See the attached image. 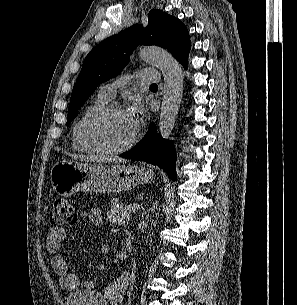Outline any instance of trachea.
<instances>
[{"instance_id":"trachea-1","label":"trachea","mask_w":297,"mask_h":305,"mask_svg":"<svg viewBox=\"0 0 297 305\" xmlns=\"http://www.w3.org/2000/svg\"><path fill=\"white\" fill-rule=\"evenodd\" d=\"M150 87H158V85L157 84H151Z\"/></svg>"}]
</instances>
